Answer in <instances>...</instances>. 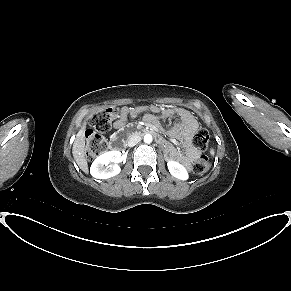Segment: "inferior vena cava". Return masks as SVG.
Masks as SVG:
<instances>
[{"label": "inferior vena cava", "mask_w": 291, "mask_h": 291, "mask_svg": "<svg viewBox=\"0 0 291 291\" xmlns=\"http://www.w3.org/2000/svg\"><path fill=\"white\" fill-rule=\"evenodd\" d=\"M140 141H141V137L139 135H133L130 137V139L128 141V146L133 147Z\"/></svg>", "instance_id": "1"}]
</instances>
